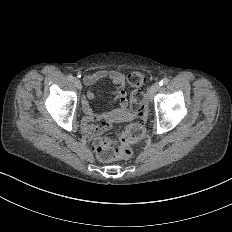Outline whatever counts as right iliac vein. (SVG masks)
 Returning <instances> with one entry per match:
<instances>
[{"mask_svg": "<svg viewBox=\"0 0 232 232\" xmlns=\"http://www.w3.org/2000/svg\"><path fill=\"white\" fill-rule=\"evenodd\" d=\"M73 84L77 86L78 92H81L82 85H81V83H80V80H79V79H75V80L73 81Z\"/></svg>", "mask_w": 232, "mask_h": 232, "instance_id": "obj_1", "label": "right iliac vein"}]
</instances>
